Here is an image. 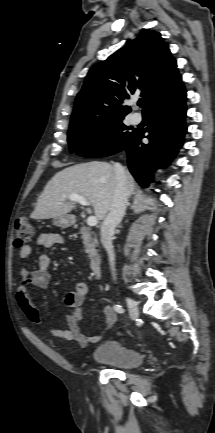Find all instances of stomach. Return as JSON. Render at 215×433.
<instances>
[{
  "label": "stomach",
  "instance_id": "obj_1",
  "mask_svg": "<svg viewBox=\"0 0 215 433\" xmlns=\"http://www.w3.org/2000/svg\"><path fill=\"white\" fill-rule=\"evenodd\" d=\"M74 222H75V218L69 214L57 216L53 219L54 225L60 228H68L72 226Z\"/></svg>",
  "mask_w": 215,
  "mask_h": 433
}]
</instances>
